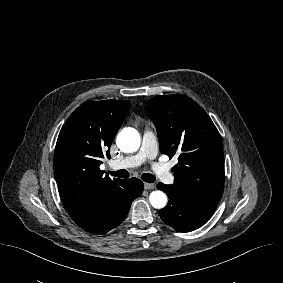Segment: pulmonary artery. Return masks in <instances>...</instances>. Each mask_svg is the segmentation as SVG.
Listing matches in <instances>:
<instances>
[{"label":"pulmonary artery","instance_id":"e3ab8cb5","mask_svg":"<svg viewBox=\"0 0 283 283\" xmlns=\"http://www.w3.org/2000/svg\"><path fill=\"white\" fill-rule=\"evenodd\" d=\"M156 155L157 138L152 131L146 130L142 135L140 150L135 155L111 161L110 167L112 169L133 168L148 161L158 178L165 183L172 184L174 179L169 167L166 164L155 162Z\"/></svg>","mask_w":283,"mask_h":283}]
</instances>
